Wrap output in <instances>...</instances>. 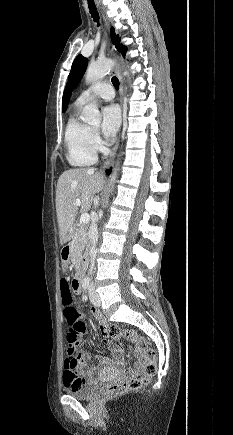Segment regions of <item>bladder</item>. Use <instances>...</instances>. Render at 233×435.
I'll use <instances>...</instances> for the list:
<instances>
[{"label":"bladder","mask_w":233,"mask_h":435,"mask_svg":"<svg viewBox=\"0 0 233 435\" xmlns=\"http://www.w3.org/2000/svg\"><path fill=\"white\" fill-rule=\"evenodd\" d=\"M100 389L99 382H89L85 383L74 390L68 391L70 396H73L79 400H87L94 396V394Z\"/></svg>","instance_id":"31cf9c89"}]
</instances>
